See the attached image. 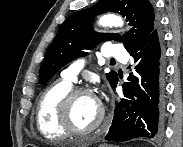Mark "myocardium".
<instances>
[{
    "mask_svg": "<svg viewBox=\"0 0 183 147\" xmlns=\"http://www.w3.org/2000/svg\"><path fill=\"white\" fill-rule=\"evenodd\" d=\"M80 95L92 96L96 100L99 107V114L96 121L89 128L84 130L77 129L73 125L71 118L72 102ZM57 118L61 127L65 129L68 134L87 135L94 132L102 124L105 118V109L101 101L89 89L74 87L71 88L60 100L57 108Z\"/></svg>",
    "mask_w": 183,
    "mask_h": 147,
    "instance_id": "obj_1",
    "label": "myocardium"
}]
</instances>
